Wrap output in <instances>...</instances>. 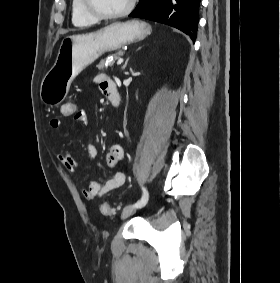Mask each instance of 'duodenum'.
Masks as SVG:
<instances>
[{
	"label": "duodenum",
	"instance_id": "1",
	"mask_svg": "<svg viewBox=\"0 0 280 283\" xmlns=\"http://www.w3.org/2000/svg\"><path fill=\"white\" fill-rule=\"evenodd\" d=\"M107 98L114 107H117L120 103V93L113 81L108 83Z\"/></svg>",
	"mask_w": 280,
	"mask_h": 283
}]
</instances>
